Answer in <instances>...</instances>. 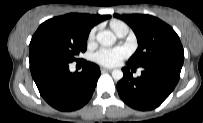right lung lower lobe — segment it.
I'll return each mask as SVG.
<instances>
[{
    "label": "right lung lower lobe",
    "mask_w": 203,
    "mask_h": 123,
    "mask_svg": "<svg viewBox=\"0 0 203 123\" xmlns=\"http://www.w3.org/2000/svg\"><path fill=\"white\" fill-rule=\"evenodd\" d=\"M29 62L41 96L60 111L83 107L90 100L100 76L99 67L86 61L79 73H71L70 62L57 57L34 56Z\"/></svg>",
    "instance_id": "1"
}]
</instances>
